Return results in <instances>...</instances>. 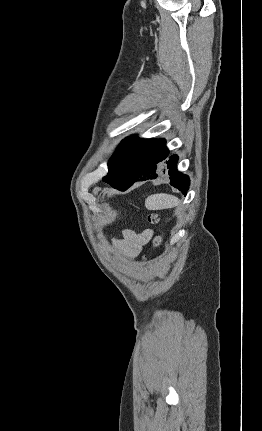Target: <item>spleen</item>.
I'll return each mask as SVG.
<instances>
[{"mask_svg": "<svg viewBox=\"0 0 262 431\" xmlns=\"http://www.w3.org/2000/svg\"><path fill=\"white\" fill-rule=\"evenodd\" d=\"M180 204V200L170 194H153L146 198L145 206L148 210H162L173 208Z\"/></svg>", "mask_w": 262, "mask_h": 431, "instance_id": "3e777b00", "label": "spleen"}]
</instances>
